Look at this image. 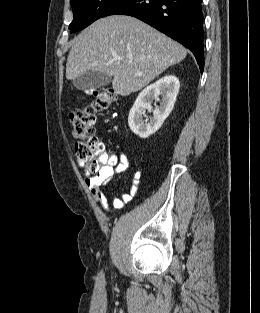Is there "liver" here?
<instances>
[{
    "label": "liver",
    "instance_id": "liver-1",
    "mask_svg": "<svg viewBox=\"0 0 260 313\" xmlns=\"http://www.w3.org/2000/svg\"><path fill=\"white\" fill-rule=\"evenodd\" d=\"M186 55L182 45L139 19L114 15L95 21L74 38L66 78L102 72L113 77L115 93L128 96Z\"/></svg>",
    "mask_w": 260,
    "mask_h": 313
}]
</instances>
